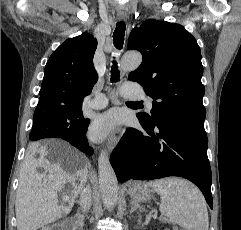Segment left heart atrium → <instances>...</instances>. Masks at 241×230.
<instances>
[{
  "mask_svg": "<svg viewBox=\"0 0 241 230\" xmlns=\"http://www.w3.org/2000/svg\"><path fill=\"white\" fill-rule=\"evenodd\" d=\"M119 114L110 110L95 116L89 127V136L93 140H102L107 137L119 123Z\"/></svg>",
  "mask_w": 241,
  "mask_h": 230,
  "instance_id": "left-heart-atrium-1",
  "label": "left heart atrium"
}]
</instances>
